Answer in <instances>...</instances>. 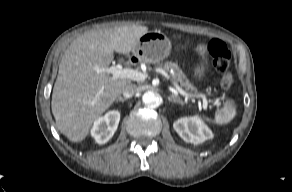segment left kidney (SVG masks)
Here are the masks:
<instances>
[{"mask_svg": "<svg viewBox=\"0 0 292 192\" xmlns=\"http://www.w3.org/2000/svg\"><path fill=\"white\" fill-rule=\"evenodd\" d=\"M173 128L185 142L195 145L213 137L212 131L197 116L178 119Z\"/></svg>", "mask_w": 292, "mask_h": 192, "instance_id": "obj_1", "label": "left kidney"}]
</instances>
